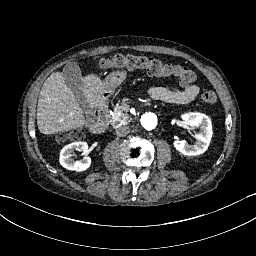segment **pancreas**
Instances as JSON below:
<instances>
[{
	"label": "pancreas",
	"mask_w": 256,
	"mask_h": 256,
	"mask_svg": "<svg viewBox=\"0 0 256 256\" xmlns=\"http://www.w3.org/2000/svg\"><path fill=\"white\" fill-rule=\"evenodd\" d=\"M127 101L129 100L124 99L122 102V105L119 106L118 108H115L114 110L115 117H110L112 126L117 127L129 122L128 112L130 110V105L126 104Z\"/></svg>",
	"instance_id": "1"
}]
</instances>
